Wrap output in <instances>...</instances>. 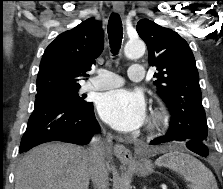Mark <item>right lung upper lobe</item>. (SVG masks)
<instances>
[{"label":"right lung upper lobe","mask_w":223,"mask_h":189,"mask_svg":"<svg viewBox=\"0 0 223 189\" xmlns=\"http://www.w3.org/2000/svg\"><path fill=\"white\" fill-rule=\"evenodd\" d=\"M101 23L94 18L61 33L46 48L37 75V92L80 87L95 59L103 50Z\"/></svg>","instance_id":"cb5924a9"}]
</instances>
